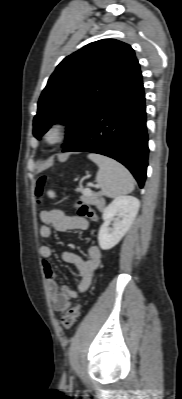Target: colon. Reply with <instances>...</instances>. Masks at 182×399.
<instances>
[{
  "instance_id": "1",
  "label": "colon",
  "mask_w": 182,
  "mask_h": 399,
  "mask_svg": "<svg viewBox=\"0 0 182 399\" xmlns=\"http://www.w3.org/2000/svg\"><path fill=\"white\" fill-rule=\"evenodd\" d=\"M48 182V177L46 175H41L38 180L37 188H36V195L38 198H41L44 188ZM75 205L78 209L79 214L86 216L94 221L98 219V215L94 210H92L88 205L84 204L82 201L77 200ZM81 309V303H77L74 306L70 307L65 314L61 318V325L65 329L71 328L77 318L79 317Z\"/></svg>"
}]
</instances>
